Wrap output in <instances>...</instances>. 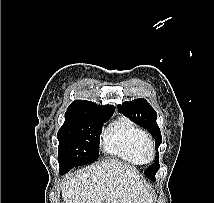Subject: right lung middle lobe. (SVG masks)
I'll return each instance as SVG.
<instances>
[{"label":"right lung middle lobe","mask_w":214,"mask_h":203,"mask_svg":"<svg viewBox=\"0 0 214 203\" xmlns=\"http://www.w3.org/2000/svg\"><path fill=\"white\" fill-rule=\"evenodd\" d=\"M110 117L89 110L67 109L65 122L57 134L60 174L98 159L100 131Z\"/></svg>","instance_id":"dd1d6c3e"}]
</instances>
